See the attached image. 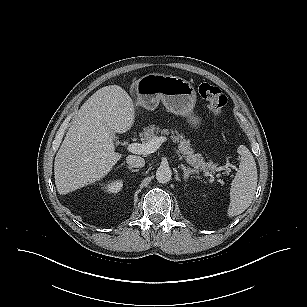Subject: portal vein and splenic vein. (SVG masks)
I'll return each instance as SVG.
<instances>
[{
    "instance_id": "obj_1",
    "label": "portal vein and splenic vein",
    "mask_w": 307,
    "mask_h": 307,
    "mask_svg": "<svg viewBox=\"0 0 307 307\" xmlns=\"http://www.w3.org/2000/svg\"><path fill=\"white\" fill-rule=\"evenodd\" d=\"M167 138L165 136H155L147 143H131L127 146L129 152L134 154H151L159 149L163 142H166ZM176 154L178 155L180 160H183V156L180 155V152L175 149ZM226 170L232 168L237 170V167L232 163H227L225 165Z\"/></svg>"
}]
</instances>
